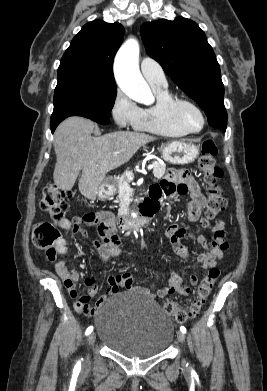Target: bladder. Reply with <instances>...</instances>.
<instances>
[{
    "mask_svg": "<svg viewBox=\"0 0 267 391\" xmlns=\"http://www.w3.org/2000/svg\"><path fill=\"white\" fill-rule=\"evenodd\" d=\"M95 323L101 343L129 358L159 355L174 337V324L158 303L135 292L107 298Z\"/></svg>",
    "mask_w": 267,
    "mask_h": 391,
    "instance_id": "bladder-1",
    "label": "bladder"
}]
</instances>
